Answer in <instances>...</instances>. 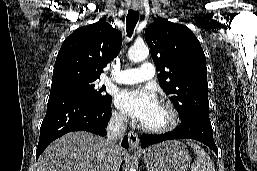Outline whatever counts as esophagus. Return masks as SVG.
<instances>
[{
	"mask_svg": "<svg viewBox=\"0 0 257 171\" xmlns=\"http://www.w3.org/2000/svg\"><path fill=\"white\" fill-rule=\"evenodd\" d=\"M132 8L137 10L139 7H140V4L139 2H133L131 4ZM128 140H129V147L132 151H137L139 149V137L138 135L133 132V131H130L128 133Z\"/></svg>",
	"mask_w": 257,
	"mask_h": 171,
	"instance_id": "esophagus-1",
	"label": "esophagus"
}]
</instances>
